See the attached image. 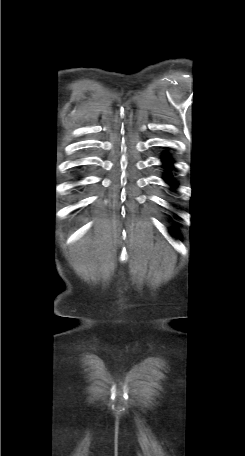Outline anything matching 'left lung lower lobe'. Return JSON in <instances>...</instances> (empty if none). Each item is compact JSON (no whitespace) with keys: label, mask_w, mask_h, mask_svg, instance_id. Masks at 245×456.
Instances as JSON below:
<instances>
[{"label":"left lung lower lobe","mask_w":245,"mask_h":456,"mask_svg":"<svg viewBox=\"0 0 245 456\" xmlns=\"http://www.w3.org/2000/svg\"><path fill=\"white\" fill-rule=\"evenodd\" d=\"M163 161L165 162V165L168 169H171L172 168V160L171 158L168 156V155H164L163 157ZM165 180L171 184L172 186H176V182L171 179L169 176H165ZM172 233L175 235V236H178L177 232L176 231H172Z\"/></svg>","instance_id":"left-lung-lower-lobe-1"}]
</instances>
